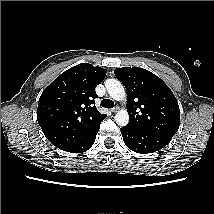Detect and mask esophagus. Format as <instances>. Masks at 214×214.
I'll use <instances>...</instances> for the list:
<instances>
[{"label": "esophagus", "instance_id": "esophagus-1", "mask_svg": "<svg viewBox=\"0 0 214 214\" xmlns=\"http://www.w3.org/2000/svg\"><path fill=\"white\" fill-rule=\"evenodd\" d=\"M118 110H119V107L116 106V107H114V108L111 109V112L115 113V112H117Z\"/></svg>", "mask_w": 214, "mask_h": 214}]
</instances>
